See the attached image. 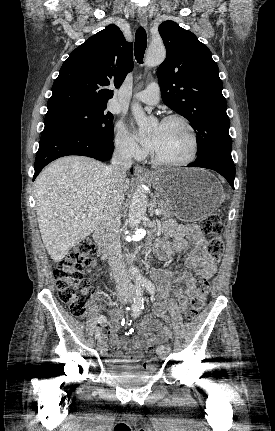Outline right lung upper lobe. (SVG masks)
<instances>
[{
    "label": "right lung upper lobe",
    "instance_id": "1",
    "mask_svg": "<svg viewBox=\"0 0 275 431\" xmlns=\"http://www.w3.org/2000/svg\"><path fill=\"white\" fill-rule=\"evenodd\" d=\"M132 49L113 24L91 36L63 63L52 86L48 112L106 105L113 97L110 87H120L133 68Z\"/></svg>",
    "mask_w": 275,
    "mask_h": 431
}]
</instances>
